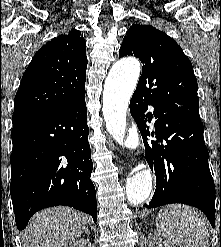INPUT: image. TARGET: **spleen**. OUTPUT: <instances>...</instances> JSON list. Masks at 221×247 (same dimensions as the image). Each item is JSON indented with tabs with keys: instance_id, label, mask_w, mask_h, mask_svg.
<instances>
[{
	"instance_id": "3e777b00",
	"label": "spleen",
	"mask_w": 221,
	"mask_h": 247,
	"mask_svg": "<svg viewBox=\"0 0 221 247\" xmlns=\"http://www.w3.org/2000/svg\"><path fill=\"white\" fill-rule=\"evenodd\" d=\"M156 228L166 242L179 247H209L206 221L189 206L181 204L162 208L156 219Z\"/></svg>"
}]
</instances>
